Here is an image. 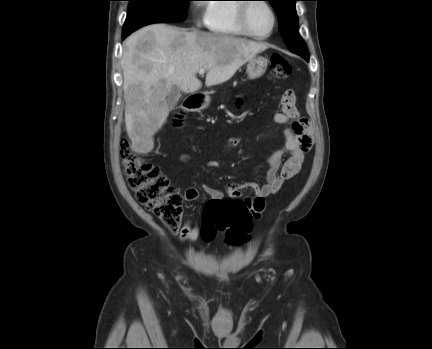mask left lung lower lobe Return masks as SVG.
<instances>
[{
  "label": "left lung lower lobe",
  "mask_w": 432,
  "mask_h": 349,
  "mask_svg": "<svg viewBox=\"0 0 432 349\" xmlns=\"http://www.w3.org/2000/svg\"><path fill=\"white\" fill-rule=\"evenodd\" d=\"M301 57H303L306 61H309V56L308 55H300Z\"/></svg>",
  "instance_id": "left-lung-lower-lobe-1"
}]
</instances>
